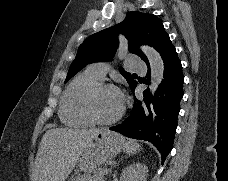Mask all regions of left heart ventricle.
<instances>
[{
  "label": "left heart ventricle",
  "instance_id": "left-heart-ventricle-1",
  "mask_svg": "<svg viewBox=\"0 0 228 181\" xmlns=\"http://www.w3.org/2000/svg\"><path fill=\"white\" fill-rule=\"evenodd\" d=\"M121 107V100L116 90L104 89L98 96L96 101V110L103 118L114 116Z\"/></svg>",
  "mask_w": 228,
  "mask_h": 181
}]
</instances>
